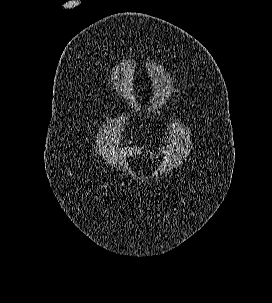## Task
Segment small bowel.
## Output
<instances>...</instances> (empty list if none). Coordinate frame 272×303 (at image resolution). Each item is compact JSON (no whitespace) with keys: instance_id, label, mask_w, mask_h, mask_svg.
Listing matches in <instances>:
<instances>
[{"instance_id":"small-bowel-1","label":"small bowel","mask_w":272,"mask_h":303,"mask_svg":"<svg viewBox=\"0 0 272 303\" xmlns=\"http://www.w3.org/2000/svg\"><path fill=\"white\" fill-rule=\"evenodd\" d=\"M166 150H167V147L164 146L161 148L159 153H152L148 158H145L144 160L158 161L161 158L162 154H164L166 152ZM121 153L125 157H133V156L139 155L141 153V148L135 144L128 145L122 149Z\"/></svg>"}]
</instances>
